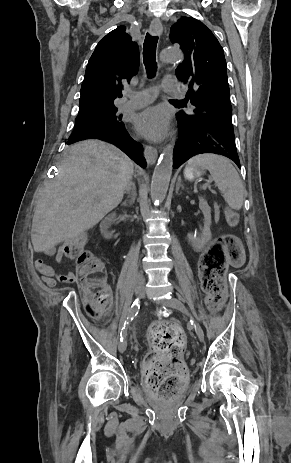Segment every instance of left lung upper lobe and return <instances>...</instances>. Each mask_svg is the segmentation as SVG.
Masks as SVG:
<instances>
[{
    "label": "left lung upper lobe",
    "mask_w": 291,
    "mask_h": 463,
    "mask_svg": "<svg viewBox=\"0 0 291 463\" xmlns=\"http://www.w3.org/2000/svg\"><path fill=\"white\" fill-rule=\"evenodd\" d=\"M170 40L185 54L177 77L189 87L187 98L196 107L190 121L233 130L227 66L223 48L210 29L194 18L182 17L171 28Z\"/></svg>",
    "instance_id": "obj_1"
}]
</instances>
